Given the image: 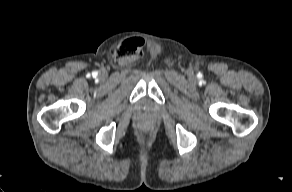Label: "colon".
Masks as SVG:
<instances>
[{"label":"colon","instance_id":"5ec220e1","mask_svg":"<svg viewBox=\"0 0 292 192\" xmlns=\"http://www.w3.org/2000/svg\"><path fill=\"white\" fill-rule=\"evenodd\" d=\"M142 46L140 39H133L123 43L118 49L117 54L119 56L136 54Z\"/></svg>","mask_w":292,"mask_h":192}]
</instances>
